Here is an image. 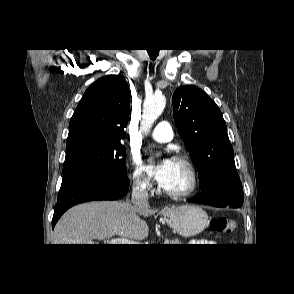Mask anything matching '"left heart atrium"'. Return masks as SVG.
Listing matches in <instances>:
<instances>
[{
    "mask_svg": "<svg viewBox=\"0 0 294 294\" xmlns=\"http://www.w3.org/2000/svg\"><path fill=\"white\" fill-rule=\"evenodd\" d=\"M174 164V160L171 158H164L157 162L156 164H151L148 169L149 172L154 176V178L157 180V182L160 185H163L165 181L167 180L172 167Z\"/></svg>",
    "mask_w": 294,
    "mask_h": 294,
    "instance_id": "obj_1",
    "label": "left heart atrium"
}]
</instances>
